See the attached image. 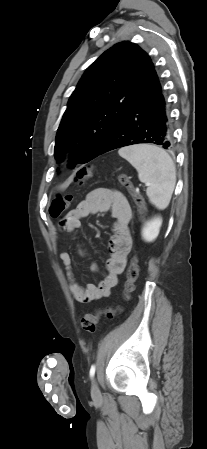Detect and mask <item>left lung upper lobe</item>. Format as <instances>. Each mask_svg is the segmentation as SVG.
<instances>
[{"mask_svg":"<svg viewBox=\"0 0 207 449\" xmlns=\"http://www.w3.org/2000/svg\"><path fill=\"white\" fill-rule=\"evenodd\" d=\"M155 72L139 46L121 42L91 64L72 93L62 117L55 158L74 147L71 165L87 163L145 91Z\"/></svg>","mask_w":207,"mask_h":449,"instance_id":"left-lung-upper-lobe-1","label":"left lung upper lobe"}]
</instances>
